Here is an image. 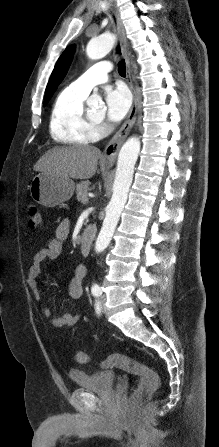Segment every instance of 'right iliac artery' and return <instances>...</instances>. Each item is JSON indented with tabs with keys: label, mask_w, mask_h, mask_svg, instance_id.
Here are the masks:
<instances>
[{
	"label": "right iliac artery",
	"mask_w": 219,
	"mask_h": 447,
	"mask_svg": "<svg viewBox=\"0 0 219 447\" xmlns=\"http://www.w3.org/2000/svg\"><path fill=\"white\" fill-rule=\"evenodd\" d=\"M95 310H96V313H97L98 315H100V313H101V305H100V301H99V300H96V303H95Z\"/></svg>",
	"instance_id": "1"
}]
</instances>
